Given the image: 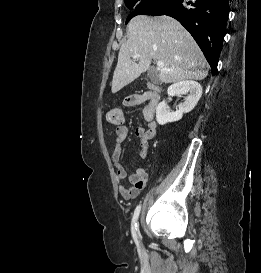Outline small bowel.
I'll return each instance as SVG.
<instances>
[{"label":"small bowel","instance_id":"1","mask_svg":"<svg viewBox=\"0 0 261 273\" xmlns=\"http://www.w3.org/2000/svg\"><path fill=\"white\" fill-rule=\"evenodd\" d=\"M146 102L143 110V117L147 123L146 128L137 127L135 129V136L138 138L139 150L138 158L143 160L148 155L149 141L153 139L157 132V123L155 121L156 105L151 103L150 93L132 94L124 100L126 107H134ZM128 134V127L121 123L116 126L114 131L115 145L111 155L114 163L116 178L119 181L128 179L130 186L119 185V193L124 199H134L138 196L140 191L145 187L147 181V171L144 166L140 165L135 172L127 175L124 166L121 163L122 158V143Z\"/></svg>","mask_w":261,"mask_h":273}]
</instances>
